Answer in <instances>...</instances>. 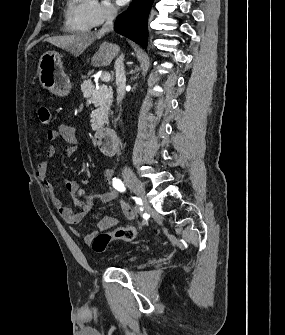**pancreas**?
Masks as SVG:
<instances>
[{
  "instance_id": "obj_1",
  "label": "pancreas",
  "mask_w": 285,
  "mask_h": 335,
  "mask_svg": "<svg viewBox=\"0 0 285 335\" xmlns=\"http://www.w3.org/2000/svg\"><path fill=\"white\" fill-rule=\"evenodd\" d=\"M86 76H88V73H85V76H83L84 80L80 82V88L83 93H93L94 91L92 102L96 110H93L91 114V122L93 125L109 124L108 114L112 106L113 96L107 86H100L98 90H94V85L91 81V78Z\"/></svg>"
}]
</instances>
